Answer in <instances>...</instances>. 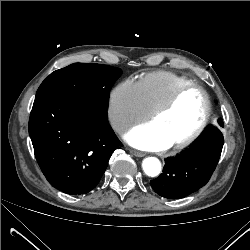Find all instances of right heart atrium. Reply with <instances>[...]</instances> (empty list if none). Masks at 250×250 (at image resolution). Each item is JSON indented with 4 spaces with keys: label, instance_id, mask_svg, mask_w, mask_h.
<instances>
[{
    "label": "right heart atrium",
    "instance_id": "1",
    "mask_svg": "<svg viewBox=\"0 0 250 250\" xmlns=\"http://www.w3.org/2000/svg\"><path fill=\"white\" fill-rule=\"evenodd\" d=\"M107 112L112 129L120 134L150 115L136 83L130 79L121 81L111 89Z\"/></svg>",
    "mask_w": 250,
    "mask_h": 250
}]
</instances>
